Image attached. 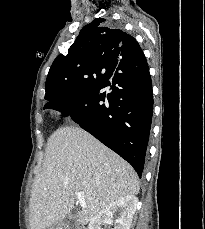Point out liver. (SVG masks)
Segmentation results:
<instances>
[{
  "instance_id": "liver-1",
  "label": "liver",
  "mask_w": 205,
  "mask_h": 229,
  "mask_svg": "<svg viewBox=\"0 0 205 229\" xmlns=\"http://www.w3.org/2000/svg\"><path fill=\"white\" fill-rule=\"evenodd\" d=\"M132 166L91 134L76 126L56 130L48 139L45 161L30 196L31 229H47L74 207L84 193L77 223L86 225L109 204L139 193Z\"/></svg>"
}]
</instances>
